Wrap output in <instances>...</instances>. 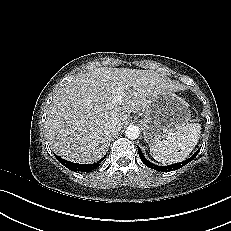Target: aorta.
I'll use <instances>...</instances> for the list:
<instances>
[{
    "mask_svg": "<svg viewBox=\"0 0 231 231\" xmlns=\"http://www.w3.org/2000/svg\"><path fill=\"white\" fill-rule=\"evenodd\" d=\"M125 135L129 139H137L140 135L139 127L135 125H129L125 130Z\"/></svg>",
    "mask_w": 231,
    "mask_h": 231,
    "instance_id": "762f6f07",
    "label": "aorta"
}]
</instances>
